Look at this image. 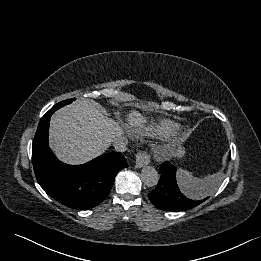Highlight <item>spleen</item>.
<instances>
[{
    "mask_svg": "<svg viewBox=\"0 0 261 261\" xmlns=\"http://www.w3.org/2000/svg\"><path fill=\"white\" fill-rule=\"evenodd\" d=\"M178 174L180 175V177H185V178H189V179L193 177V174L191 172H188L183 169H179ZM217 185H218V183L215 178H211V177L207 178L199 184L200 188H204L207 190L206 193H204L203 195H192L191 197L196 200L201 199L202 197L211 193L217 187Z\"/></svg>",
    "mask_w": 261,
    "mask_h": 261,
    "instance_id": "spleen-1",
    "label": "spleen"
}]
</instances>
